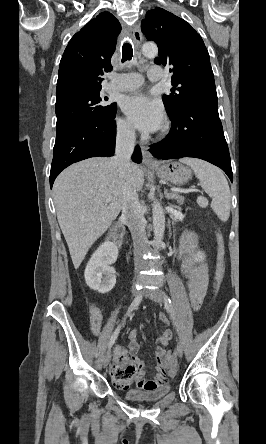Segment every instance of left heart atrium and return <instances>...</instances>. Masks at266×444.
I'll list each match as a JSON object with an SVG mask.
<instances>
[{"label":"left heart atrium","mask_w":266,"mask_h":444,"mask_svg":"<svg viewBox=\"0 0 266 444\" xmlns=\"http://www.w3.org/2000/svg\"><path fill=\"white\" fill-rule=\"evenodd\" d=\"M123 110L133 125L144 132L157 131L164 120L161 104L143 93L128 96Z\"/></svg>","instance_id":"obj_1"}]
</instances>
